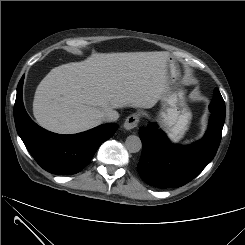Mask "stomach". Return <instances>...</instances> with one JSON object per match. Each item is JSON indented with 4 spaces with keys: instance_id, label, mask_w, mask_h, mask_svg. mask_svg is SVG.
<instances>
[{
    "instance_id": "0dacf381",
    "label": "stomach",
    "mask_w": 245,
    "mask_h": 245,
    "mask_svg": "<svg viewBox=\"0 0 245 245\" xmlns=\"http://www.w3.org/2000/svg\"><path fill=\"white\" fill-rule=\"evenodd\" d=\"M167 75V90L162 99L165 108L160 114V121L166 127L169 137L178 141L187 131L192 115L184 101V92L171 91L170 85L178 76V67L172 60L168 61Z\"/></svg>"
}]
</instances>
